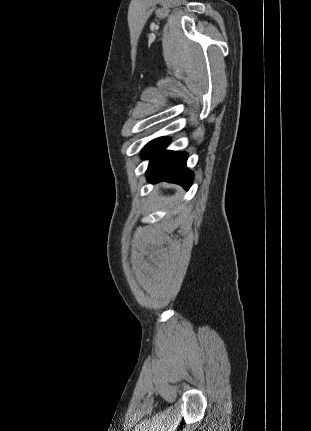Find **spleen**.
I'll return each instance as SVG.
<instances>
[{
	"mask_svg": "<svg viewBox=\"0 0 311 431\" xmlns=\"http://www.w3.org/2000/svg\"><path fill=\"white\" fill-rule=\"evenodd\" d=\"M159 202H162L163 206H166V204H173L176 200L175 198H160Z\"/></svg>",
	"mask_w": 311,
	"mask_h": 431,
	"instance_id": "spleen-1",
	"label": "spleen"
}]
</instances>
